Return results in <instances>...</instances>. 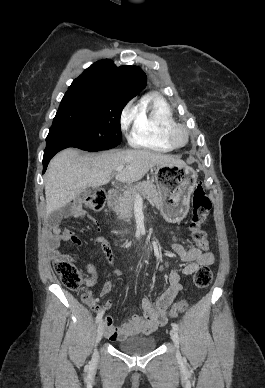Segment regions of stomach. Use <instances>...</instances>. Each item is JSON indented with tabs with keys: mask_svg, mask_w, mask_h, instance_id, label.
I'll use <instances>...</instances> for the list:
<instances>
[{
	"mask_svg": "<svg viewBox=\"0 0 265 388\" xmlns=\"http://www.w3.org/2000/svg\"><path fill=\"white\" fill-rule=\"evenodd\" d=\"M154 181L161 195L160 209L165 218L172 222L182 220L197 184L196 172L187 165L160 164L155 168Z\"/></svg>",
	"mask_w": 265,
	"mask_h": 388,
	"instance_id": "0dacf381",
	"label": "stomach"
}]
</instances>
